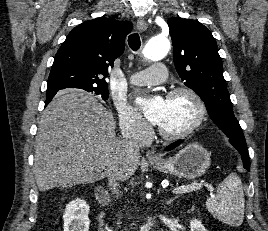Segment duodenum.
I'll return each instance as SVG.
<instances>
[{"mask_svg":"<svg viewBox=\"0 0 268 231\" xmlns=\"http://www.w3.org/2000/svg\"><path fill=\"white\" fill-rule=\"evenodd\" d=\"M97 198L103 203H108L110 199L109 192L106 190H101L97 192ZM155 224V219L153 217H149L145 223H143L139 229V231H150Z\"/></svg>","mask_w":268,"mask_h":231,"instance_id":"410a0bca","label":"duodenum"}]
</instances>
